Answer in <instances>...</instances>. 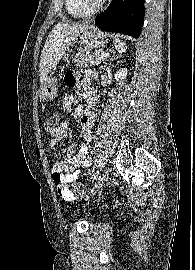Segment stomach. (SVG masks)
<instances>
[{"label": "stomach", "instance_id": "stomach-1", "mask_svg": "<svg viewBox=\"0 0 195 270\" xmlns=\"http://www.w3.org/2000/svg\"><path fill=\"white\" fill-rule=\"evenodd\" d=\"M108 41L107 34L89 27L80 36V44L86 48H99L104 46ZM59 89V80L57 77L50 75L40 88L39 96L42 101L48 102L53 100Z\"/></svg>", "mask_w": 195, "mask_h": 270}]
</instances>
